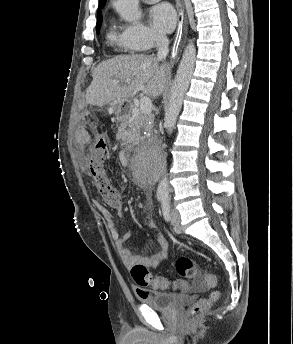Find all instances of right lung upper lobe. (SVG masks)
I'll return each instance as SVG.
<instances>
[{"instance_id": "cb5924a9", "label": "right lung upper lobe", "mask_w": 293, "mask_h": 344, "mask_svg": "<svg viewBox=\"0 0 293 344\" xmlns=\"http://www.w3.org/2000/svg\"><path fill=\"white\" fill-rule=\"evenodd\" d=\"M105 3H106V0H99V7H104ZM101 16H102L101 11L99 10L97 14V19L100 18Z\"/></svg>"}]
</instances>
